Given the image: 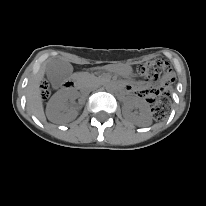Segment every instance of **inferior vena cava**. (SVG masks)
I'll return each mask as SVG.
<instances>
[{"label":"inferior vena cava","instance_id":"obj_1","mask_svg":"<svg viewBox=\"0 0 206 206\" xmlns=\"http://www.w3.org/2000/svg\"><path fill=\"white\" fill-rule=\"evenodd\" d=\"M94 89H96V87H91L85 90V93H89L91 91H93Z\"/></svg>","mask_w":206,"mask_h":206}]
</instances>
